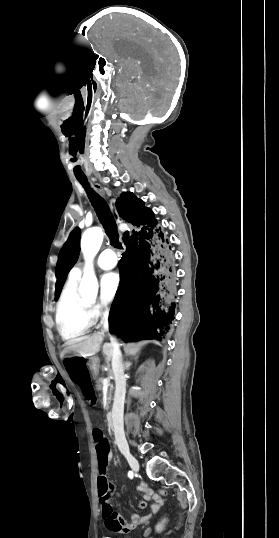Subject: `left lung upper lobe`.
Masks as SVG:
<instances>
[{
	"instance_id": "obj_1",
	"label": "left lung upper lobe",
	"mask_w": 279,
	"mask_h": 538,
	"mask_svg": "<svg viewBox=\"0 0 279 538\" xmlns=\"http://www.w3.org/2000/svg\"><path fill=\"white\" fill-rule=\"evenodd\" d=\"M80 235L81 231L76 227L70 234L67 242L63 245L59 256L56 267V291H55V300L59 298L62 287L65 283L66 277L70 269L76 263L79 256V244H80Z\"/></svg>"
}]
</instances>
